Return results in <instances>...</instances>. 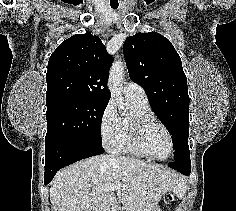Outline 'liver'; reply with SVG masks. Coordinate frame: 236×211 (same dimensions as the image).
Masks as SVG:
<instances>
[{"label": "liver", "mask_w": 236, "mask_h": 211, "mask_svg": "<svg viewBox=\"0 0 236 211\" xmlns=\"http://www.w3.org/2000/svg\"><path fill=\"white\" fill-rule=\"evenodd\" d=\"M120 185L117 197L105 189ZM176 172L125 156L100 155L63 168L49 189L54 211H151L183 185ZM119 200V202H118Z\"/></svg>", "instance_id": "liver-1"}]
</instances>
